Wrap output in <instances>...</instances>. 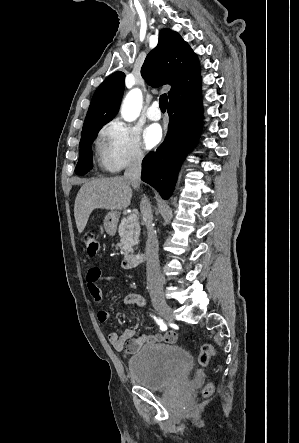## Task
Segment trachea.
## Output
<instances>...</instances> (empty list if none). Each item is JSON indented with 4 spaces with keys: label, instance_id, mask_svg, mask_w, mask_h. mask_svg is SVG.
I'll use <instances>...</instances> for the list:
<instances>
[{
    "label": "trachea",
    "instance_id": "obj_1",
    "mask_svg": "<svg viewBox=\"0 0 299 443\" xmlns=\"http://www.w3.org/2000/svg\"><path fill=\"white\" fill-rule=\"evenodd\" d=\"M167 105H168V97L166 94H163L160 96V99H159V106H160L161 111H163V112L166 111Z\"/></svg>",
    "mask_w": 299,
    "mask_h": 443
}]
</instances>
